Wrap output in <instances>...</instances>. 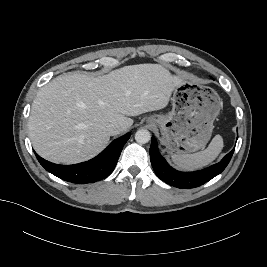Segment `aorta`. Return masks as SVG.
Wrapping results in <instances>:
<instances>
[{"instance_id":"obj_1","label":"aorta","mask_w":267,"mask_h":267,"mask_svg":"<svg viewBox=\"0 0 267 267\" xmlns=\"http://www.w3.org/2000/svg\"><path fill=\"white\" fill-rule=\"evenodd\" d=\"M150 139H151V134L146 129H139L135 133V140H136V142H138L140 144L148 143L150 141Z\"/></svg>"}]
</instances>
